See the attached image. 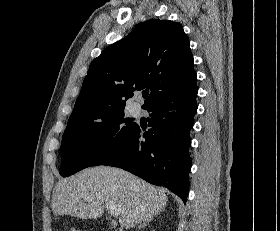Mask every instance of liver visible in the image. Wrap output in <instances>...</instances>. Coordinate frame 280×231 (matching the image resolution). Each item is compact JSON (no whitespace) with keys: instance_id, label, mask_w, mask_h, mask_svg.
Segmentation results:
<instances>
[{"instance_id":"6515ba94","label":"liver","mask_w":280,"mask_h":231,"mask_svg":"<svg viewBox=\"0 0 280 231\" xmlns=\"http://www.w3.org/2000/svg\"><path fill=\"white\" fill-rule=\"evenodd\" d=\"M167 195L129 171L118 167H88L71 177H61L52 195L55 215L69 213L82 219H97L105 207H120L119 223L129 229L164 209Z\"/></svg>"}]
</instances>
